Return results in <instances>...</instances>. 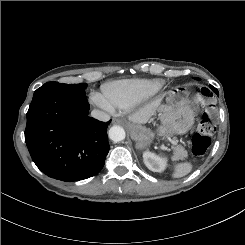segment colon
Listing matches in <instances>:
<instances>
[{
	"instance_id": "1",
	"label": "colon",
	"mask_w": 245,
	"mask_h": 245,
	"mask_svg": "<svg viewBox=\"0 0 245 245\" xmlns=\"http://www.w3.org/2000/svg\"><path fill=\"white\" fill-rule=\"evenodd\" d=\"M215 127L210 120L208 113L200 117L197 132L192 137L191 151L195 156H203L210 146V136L214 133Z\"/></svg>"
}]
</instances>
